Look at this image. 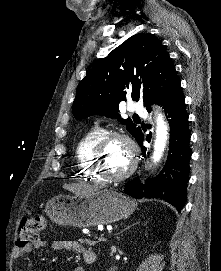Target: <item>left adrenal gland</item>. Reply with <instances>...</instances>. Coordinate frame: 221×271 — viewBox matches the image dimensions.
<instances>
[{
	"label": "left adrenal gland",
	"mask_w": 221,
	"mask_h": 271,
	"mask_svg": "<svg viewBox=\"0 0 221 271\" xmlns=\"http://www.w3.org/2000/svg\"><path fill=\"white\" fill-rule=\"evenodd\" d=\"M136 223H139V221H136ZM136 223H132V225H136ZM132 225H128V227H132ZM128 227H125V229H128ZM124 231V229H122Z\"/></svg>",
	"instance_id": "a2214340"
}]
</instances>
